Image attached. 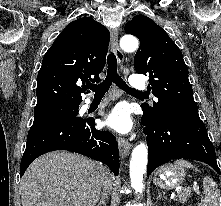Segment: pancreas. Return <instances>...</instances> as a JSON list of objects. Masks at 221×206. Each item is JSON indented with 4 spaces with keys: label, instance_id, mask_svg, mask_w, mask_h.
<instances>
[{
    "label": "pancreas",
    "instance_id": "cf45deb5",
    "mask_svg": "<svg viewBox=\"0 0 221 206\" xmlns=\"http://www.w3.org/2000/svg\"><path fill=\"white\" fill-rule=\"evenodd\" d=\"M190 198V193L189 192H181L179 193L178 197L176 198L179 202H186L187 199Z\"/></svg>",
    "mask_w": 221,
    "mask_h": 206
}]
</instances>
